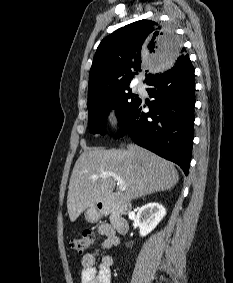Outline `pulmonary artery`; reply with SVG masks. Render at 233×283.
<instances>
[{
	"mask_svg": "<svg viewBox=\"0 0 233 283\" xmlns=\"http://www.w3.org/2000/svg\"><path fill=\"white\" fill-rule=\"evenodd\" d=\"M142 90V88L141 87H138V91H141Z\"/></svg>",
	"mask_w": 233,
	"mask_h": 283,
	"instance_id": "e3ab8cb5",
	"label": "pulmonary artery"
}]
</instances>
